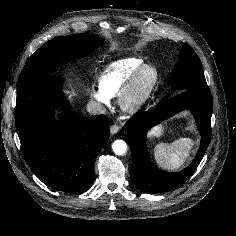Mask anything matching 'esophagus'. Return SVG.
Returning <instances> with one entry per match:
<instances>
[{"instance_id":"34e87169","label":"esophagus","mask_w":236,"mask_h":236,"mask_svg":"<svg viewBox=\"0 0 236 236\" xmlns=\"http://www.w3.org/2000/svg\"><path fill=\"white\" fill-rule=\"evenodd\" d=\"M119 130H120V127L118 125H112L110 127V133L112 135L117 134L119 132Z\"/></svg>"}]
</instances>
